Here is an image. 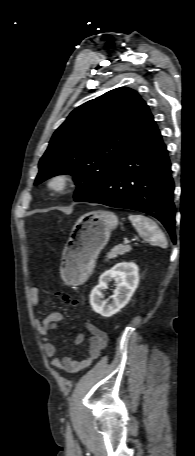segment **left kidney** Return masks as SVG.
<instances>
[{"instance_id": "obj_1", "label": "left kidney", "mask_w": 195, "mask_h": 456, "mask_svg": "<svg viewBox=\"0 0 195 456\" xmlns=\"http://www.w3.org/2000/svg\"><path fill=\"white\" fill-rule=\"evenodd\" d=\"M138 266L133 263L122 262L116 264L99 278V284L90 294V304L94 312L103 317H111L120 311L130 300L138 287ZM111 279L116 281V289L112 296V303L103 300V292L108 288Z\"/></svg>"}]
</instances>
